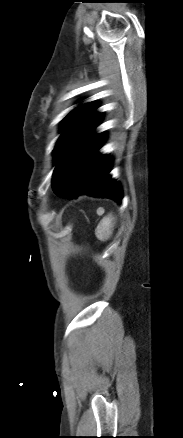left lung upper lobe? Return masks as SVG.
<instances>
[{"instance_id":"1","label":"left lung upper lobe","mask_w":183,"mask_h":438,"mask_svg":"<svg viewBox=\"0 0 183 438\" xmlns=\"http://www.w3.org/2000/svg\"><path fill=\"white\" fill-rule=\"evenodd\" d=\"M96 108L97 105L90 102L77 107L64 118L63 133L54 148L56 163L99 125L102 113H95Z\"/></svg>"}]
</instances>
